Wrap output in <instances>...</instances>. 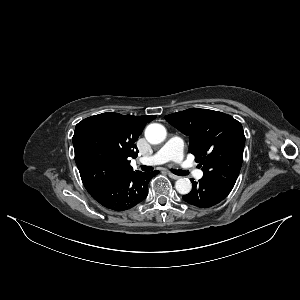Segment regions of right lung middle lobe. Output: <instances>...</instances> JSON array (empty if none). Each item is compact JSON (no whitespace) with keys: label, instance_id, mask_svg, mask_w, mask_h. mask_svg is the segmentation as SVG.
I'll return each mask as SVG.
<instances>
[{"label":"right lung middle lobe","instance_id":"obj_1","mask_svg":"<svg viewBox=\"0 0 300 300\" xmlns=\"http://www.w3.org/2000/svg\"><path fill=\"white\" fill-rule=\"evenodd\" d=\"M73 146L75 161L85 187L112 181L118 176L111 155L94 129L76 128Z\"/></svg>","mask_w":300,"mask_h":300}]
</instances>
